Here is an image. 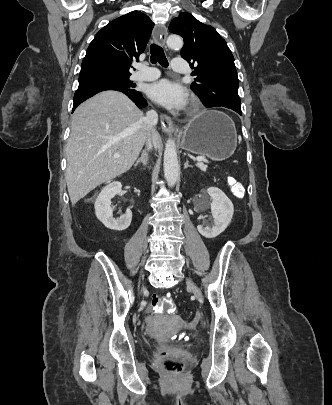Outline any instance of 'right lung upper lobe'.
<instances>
[{
    "label": "right lung upper lobe",
    "mask_w": 332,
    "mask_h": 405,
    "mask_svg": "<svg viewBox=\"0 0 332 405\" xmlns=\"http://www.w3.org/2000/svg\"><path fill=\"white\" fill-rule=\"evenodd\" d=\"M154 24L141 12H130L103 27L90 43L80 76L114 73L131 75V60L138 59L148 43Z\"/></svg>",
    "instance_id": "cb5924a9"
}]
</instances>
